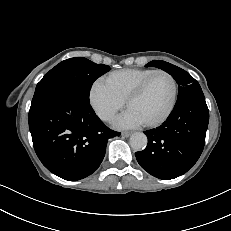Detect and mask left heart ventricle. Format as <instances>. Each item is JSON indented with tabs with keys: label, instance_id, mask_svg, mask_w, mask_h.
<instances>
[{
	"label": "left heart ventricle",
	"instance_id": "obj_1",
	"mask_svg": "<svg viewBox=\"0 0 231 231\" xmlns=\"http://www.w3.org/2000/svg\"><path fill=\"white\" fill-rule=\"evenodd\" d=\"M173 95L170 78L164 74L152 77L142 94L132 101L128 109L142 121L150 122L160 118L169 108Z\"/></svg>",
	"mask_w": 231,
	"mask_h": 231
}]
</instances>
